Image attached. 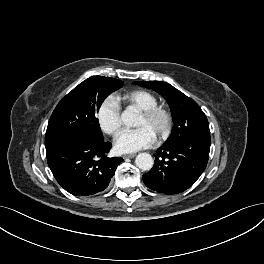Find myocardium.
Here are the masks:
<instances>
[{
  "instance_id": "f54148a6",
  "label": "myocardium",
  "mask_w": 264,
  "mask_h": 264,
  "mask_svg": "<svg viewBox=\"0 0 264 264\" xmlns=\"http://www.w3.org/2000/svg\"><path fill=\"white\" fill-rule=\"evenodd\" d=\"M141 115L148 120L161 121V129L156 135L158 139H166L170 135L173 125V119L171 112L167 108L156 105L151 108L142 110Z\"/></svg>"
}]
</instances>
